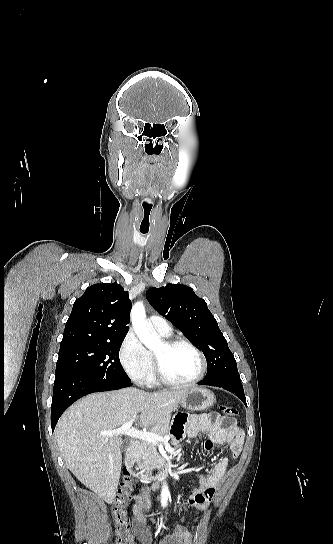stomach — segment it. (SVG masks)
Returning a JSON list of instances; mask_svg holds the SVG:
<instances>
[{
	"label": "stomach",
	"instance_id": "1",
	"mask_svg": "<svg viewBox=\"0 0 333 544\" xmlns=\"http://www.w3.org/2000/svg\"><path fill=\"white\" fill-rule=\"evenodd\" d=\"M179 402L186 410L202 411L214 405L215 396L210 390L196 387L187 390Z\"/></svg>",
	"mask_w": 333,
	"mask_h": 544
}]
</instances>
